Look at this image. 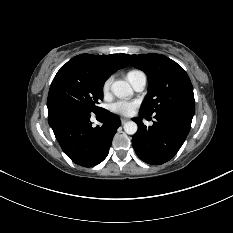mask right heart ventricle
<instances>
[{
    "mask_svg": "<svg viewBox=\"0 0 233 233\" xmlns=\"http://www.w3.org/2000/svg\"><path fill=\"white\" fill-rule=\"evenodd\" d=\"M142 75H144L142 71L138 69H132L126 73V78L131 84H133L137 80V78H139Z\"/></svg>",
    "mask_w": 233,
    "mask_h": 233,
    "instance_id": "right-heart-ventricle-1",
    "label": "right heart ventricle"
}]
</instances>
